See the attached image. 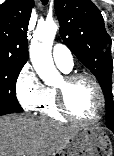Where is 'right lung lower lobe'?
Listing matches in <instances>:
<instances>
[{"label": "right lung lower lobe", "mask_w": 114, "mask_h": 156, "mask_svg": "<svg viewBox=\"0 0 114 156\" xmlns=\"http://www.w3.org/2000/svg\"><path fill=\"white\" fill-rule=\"evenodd\" d=\"M5 114H9V113L8 112H0V116L5 115Z\"/></svg>", "instance_id": "98d812e1"}]
</instances>
